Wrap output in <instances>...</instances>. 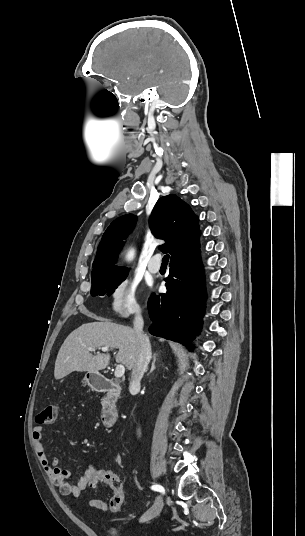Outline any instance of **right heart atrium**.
I'll return each instance as SVG.
<instances>
[{"label":"right heart atrium","mask_w":305,"mask_h":536,"mask_svg":"<svg viewBox=\"0 0 305 536\" xmlns=\"http://www.w3.org/2000/svg\"><path fill=\"white\" fill-rule=\"evenodd\" d=\"M110 309L120 317H129L140 313L139 286L129 277L120 280L110 293Z\"/></svg>","instance_id":"1"}]
</instances>
